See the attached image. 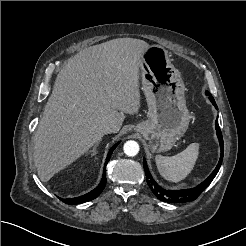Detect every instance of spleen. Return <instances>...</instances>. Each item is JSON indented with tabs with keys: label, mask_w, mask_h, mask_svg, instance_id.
Wrapping results in <instances>:
<instances>
[{
	"label": "spleen",
	"mask_w": 246,
	"mask_h": 246,
	"mask_svg": "<svg viewBox=\"0 0 246 246\" xmlns=\"http://www.w3.org/2000/svg\"><path fill=\"white\" fill-rule=\"evenodd\" d=\"M199 146V143H192L185 150L171 157L157 155L155 161L160 175L170 182L177 183L184 180L196 164Z\"/></svg>",
	"instance_id": "obj_1"
}]
</instances>
